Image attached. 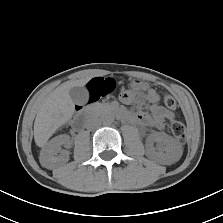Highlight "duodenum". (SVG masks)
I'll return each instance as SVG.
<instances>
[{"mask_svg":"<svg viewBox=\"0 0 223 223\" xmlns=\"http://www.w3.org/2000/svg\"><path fill=\"white\" fill-rule=\"evenodd\" d=\"M113 110H114V113L117 115L118 118H120L122 120H128L129 119V115L124 110H121L119 108H115ZM89 116H90V114H88L87 116H78V117L74 118V120L72 122V128H74V129L83 128L84 125L87 123Z\"/></svg>","mask_w":223,"mask_h":223,"instance_id":"1","label":"duodenum"}]
</instances>
